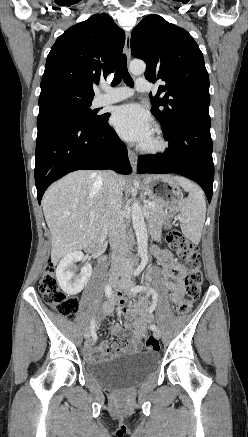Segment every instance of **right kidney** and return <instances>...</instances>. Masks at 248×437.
Wrapping results in <instances>:
<instances>
[{
	"instance_id": "1",
	"label": "right kidney",
	"mask_w": 248,
	"mask_h": 437,
	"mask_svg": "<svg viewBox=\"0 0 248 437\" xmlns=\"http://www.w3.org/2000/svg\"><path fill=\"white\" fill-rule=\"evenodd\" d=\"M84 255L81 251H74L64 256L56 269V277L61 289L68 295L80 293L87 285L92 275V266L86 264L80 273H75V263L81 261Z\"/></svg>"
}]
</instances>
